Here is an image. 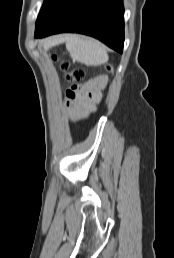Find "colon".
<instances>
[{
    "instance_id": "obj_1",
    "label": "colon",
    "mask_w": 174,
    "mask_h": 258,
    "mask_svg": "<svg viewBox=\"0 0 174 258\" xmlns=\"http://www.w3.org/2000/svg\"><path fill=\"white\" fill-rule=\"evenodd\" d=\"M54 59H56V57H54ZM106 68L109 72H113L111 65H108ZM61 69L64 72L65 79L71 84L67 93L72 97H76L80 93L81 87L83 85L81 82L85 77L84 70L81 68L71 69L69 64L66 62L61 63Z\"/></svg>"
}]
</instances>
